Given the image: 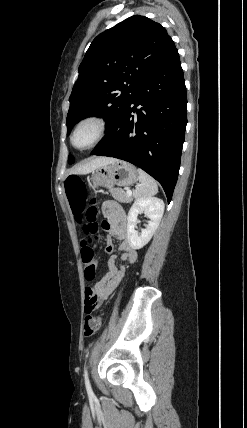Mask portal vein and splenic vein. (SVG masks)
I'll return each instance as SVG.
<instances>
[{
  "instance_id": "obj_1",
  "label": "portal vein and splenic vein",
  "mask_w": 247,
  "mask_h": 428,
  "mask_svg": "<svg viewBox=\"0 0 247 428\" xmlns=\"http://www.w3.org/2000/svg\"><path fill=\"white\" fill-rule=\"evenodd\" d=\"M126 194H127L128 196H131V195H132V191H131V190H127V191H126Z\"/></svg>"
}]
</instances>
